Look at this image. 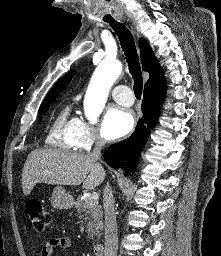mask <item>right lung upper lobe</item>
I'll return each mask as SVG.
<instances>
[{
	"label": "right lung upper lobe",
	"mask_w": 221,
	"mask_h": 256,
	"mask_svg": "<svg viewBox=\"0 0 221 256\" xmlns=\"http://www.w3.org/2000/svg\"><path fill=\"white\" fill-rule=\"evenodd\" d=\"M139 46L142 69L144 71H148L150 75L149 80L145 84L144 90H156L165 88V78L163 75V70L159 65L157 59L155 58L154 52L152 51L150 45L145 39L141 38L139 41ZM74 74L75 71H71L64 77H62L52 88L46 99L53 95H58V93L63 90L66 85L71 81Z\"/></svg>",
	"instance_id": "obj_1"
}]
</instances>
